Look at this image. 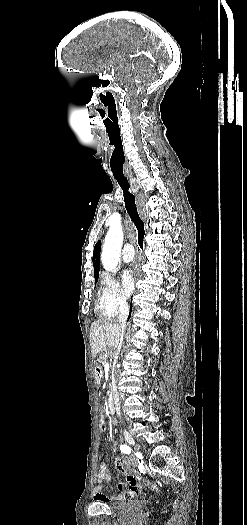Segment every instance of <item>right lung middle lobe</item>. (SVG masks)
<instances>
[{
    "label": "right lung middle lobe",
    "instance_id": "1",
    "mask_svg": "<svg viewBox=\"0 0 247 525\" xmlns=\"http://www.w3.org/2000/svg\"><path fill=\"white\" fill-rule=\"evenodd\" d=\"M97 280H98V276H95V282H97Z\"/></svg>",
    "mask_w": 247,
    "mask_h": 525
}]
</instances>
